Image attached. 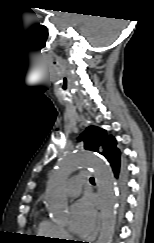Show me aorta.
Returning a JSON list of instances; mask_svg holds the SVG:
<instances>
[{
  "mask_svg": "<svg viewBox=\"0 0 154 243\" xmlns=\"http://www.w3.org/2000/svg\"><path fill=\"white\" fill-rule=\"evenodd\" d=\"M93 169L98 193L101 199L102 224L96 243H111L116 220V187L111 167L104 160L87 151H78L63 156L57 169L50 176L47 188V207L54 219L65 218L68 211L67 198L63 187L69 176L76 170Z\"/></svg>",
  "mask_w": 154,
  "mask_h": 243,
  "instance_id": "762f6f07",
  "label": "aorta"
}]
</instances>
